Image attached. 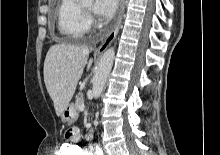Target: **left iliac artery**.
<instances>
[{"instance_id":"44dca946","label":"left iliac artery","mask_w":220,"mask_h":155,"mask_svg":"<svg viewBox=\"0 0 220 155\" xmlns=\"http://www.w3.org/2000/svg\"><path fill=\"white\" fill-rule=\"evenodd\" d=\"M95 154L96 155H103V151L101 150V148L98 147L95 151Z\"/></svg>"}]
</instances>
